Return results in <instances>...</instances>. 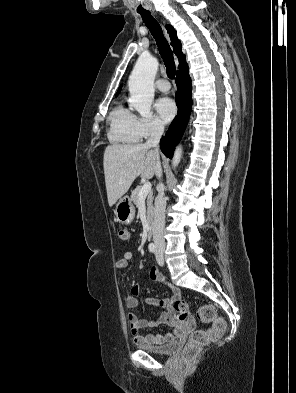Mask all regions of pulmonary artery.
I'll return each mask as SVG.
<instances>
[{"label":"pulmonary artery","instance_id":"obj_1","mask_svg":"<svg viewBox=\"0 0 296 393\" xmlns=\"http://www.w3.org/2000/svg\"><path fill=\"white\" fill-rule=\"evenodd\" d=\"M156 88L161 92H168L170 90V83L167 79H158L156 81Z\"/></svg>","mask_w":296,"mask_h":393}]
</instances>
